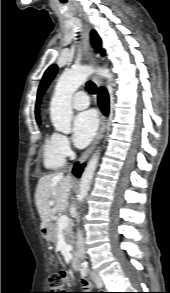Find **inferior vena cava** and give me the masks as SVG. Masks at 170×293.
I'll use <instances>...</instances> for the list:
<instances>
[{"mask_svg":"<svg viewBox=\"0 0 170 293\" xmlns=\"http://www.w3.org/2000/svg\"><path fill=\"white\" fill-rule=\"evenodd\" d=\"M77 252H78V255H80L81 257H84L85 245H84V239L80 230L77 233Z\"/></svg>","mask_w":170,"mask_h":293,"instance_id":"602c4592","label":"inferior vena cava"}]
</instances>
